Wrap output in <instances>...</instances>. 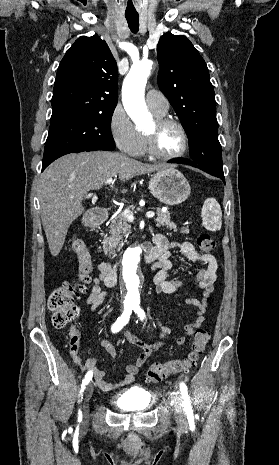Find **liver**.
<instances>
[{"mask_svg":"<svg viewBox=\"0 0 279 465\" xmlns=\"http://www.w3.org/2000/svg\"><path fill=\"white\" fill-rule=\"evenodd\" d=\"M167 167L107 151L68 154L51 163L40 176L38 198L52 256L59 254L68 228L84 212L82 201L89 191L101 189L107 179L117 175L121 181H127Z\"/></svg>","mask_w":279,"mask_h":465,"instance_id":"liver-1","label":"liver"}]
</instances>
